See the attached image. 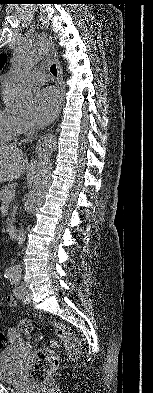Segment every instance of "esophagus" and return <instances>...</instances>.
Segmentation results:
<instances>
[{
    "instance_id": "obj_1",
    "label": "esophagus",
    "mask_w": 153,
    "mask_h": 393,
    "mask_svg": "<svg viewBox=\"0 0 153 393\" xmlns=\"http://www.w3.org/2000/svg\"><path fill=\"white\" fill-rule=\"evenodd\" d=\"M53 58H54V62H55L56 67H57V82H58V87H59V90H60V98H61L60 105L62 106L63 102H64V94H65L63 74H62V69H61L60 63L58 61L56 52L54 53Z\"/></svg>"
}]
</instances>
